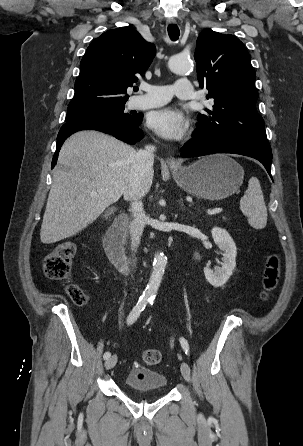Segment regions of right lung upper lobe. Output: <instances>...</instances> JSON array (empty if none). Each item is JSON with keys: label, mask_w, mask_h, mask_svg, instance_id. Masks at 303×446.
Masks as SVG:
<instances>
[{"label": "right lung upper lobe", "mask_w": 303, "mask_h": 446, "mask_svg": "<svg viewBox=\"0 0 303 446\" xmlns=\"http://www.w3.org/2000/svg\"><path fill=\"white\" fill-rule=\"evenodd\" d=\"M155 46L131 27L108 30L93 40L80 63L75 96L67 110L126 103L127 88L155 56Z\"/></svg>", "instance_id": "obj_1"}]
</instances>
